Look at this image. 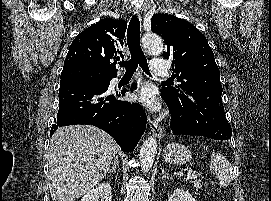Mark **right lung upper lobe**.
I'll use <instances>...</instances> for the list:
<instances>
[{
    "mask_svg": "<svg viewBox=\"0 0 271 201\" xmlns=\"http://www.w3.org/2000/svg\"><path fill=\"white\" fill-rule=\"evenodd\" d=\"M126 27L124 20L111 18L91 25L72 42L64 66L82 64L100 73L116 74V62L123 56Z\"/></svg>",
    "mask_w": 271,
    "mask_h": 201,
    "instance_id": "cb5924a9",
    "label": "right lung upper lobe"
}]
</instances>
